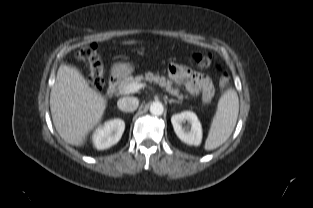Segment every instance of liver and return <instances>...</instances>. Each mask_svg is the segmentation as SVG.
Returning a JSON list of instances; mask_svg holds the SVG:
<instances>
[{"instance_id":"1","label":"liver","mask_w":313,"mask_h":208,"mask_svg":"<svg viewBox=\"0 0 313 208\" xmlns=\"http://www.w3.org/2000/svg\"><path fill=\"white\" fill-rule=\"evenodd\" d=\"M50 109L61 138L68 144L81 146L87 134L100 122L106 101L89 87L75 68L61 65L51 89Z\"/></svg>"}]
</instances>
